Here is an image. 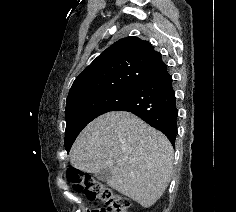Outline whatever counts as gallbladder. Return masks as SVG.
Here are the masks:
<instances>
[{
    "instance_id": "1",
    "label": "gallbladder",
    "mask_w": 236,
    "mask_h": 212,
    "mask_svg": "<svg viewBox=\"0 0 236 212\" xmlns=\"http://www.w3.org/2000/svg\"><path fill=\"white\" fill-rule=\"evenodd\" d=\"M95 177L101 181H108L111 178V170L109 168H105L95 173Z\"/></svg>"
}]
</instances>
